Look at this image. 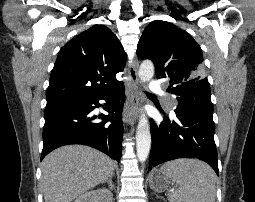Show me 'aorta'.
Masks as SVG:
<instances>
[{"instance_id":"aorta-1","label":"aorta","mask_w":255,"mask_h":202,"mask_svg":"<svg viewBox=\"0 0 255 202\" xmlns=\"http://www.w3.org/2000/svg\"><path fill=\"white\" fill-rule=\"evenodd\" d=\"M155 72L153 63L150 60L142 62L138 76L142 82H148L152 79ZM151 149V134L149 122L145 114H142L139 118L137 131H136V150L137 157L140 162H145L149 156Z\"/></svg>"}]
</instances>
